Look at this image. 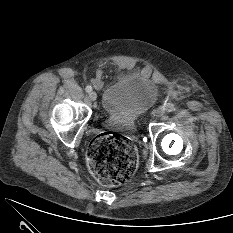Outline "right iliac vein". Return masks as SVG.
Here are the masks:
<instances>
[{
	"mask_svg": "<svg viewBox=\"0 0 233 233\" xmlns=\"http://www.w3.org/2000/svg\"><path fill=\"white\" fill-rule=\"evenodd\" d=\"M89 98L92 100V101H95L97 99V94L96 92L92 91V92H89Z\"/></svg>",
	"mask_w": 233,
	"mask_h": 233,
	"instance_id": "obj_1",
	"label": "right iliac vein"
}]
</instances>
